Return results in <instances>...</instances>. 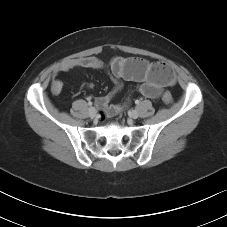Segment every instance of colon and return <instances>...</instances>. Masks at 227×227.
<instances>
[{"instance_id": "obj_1", "label": "colon", "mask_w": 227, "mask_h": 227, "mask_svg": "<svg viewBox=\"0 0 227 227\" xmlns=\"http://www.w3.org/2000/svg\"><path fill=\"white\" fill-rule=\"evenodd\" d=\"M151 67L159 72L163 78H165L168 81H174V72L173 70L165 63L163 62H153L151 63ZM162 100L166 104H172L173 97L170 94V92H165L162 95Z\"/></svg>"}]
</instances>
